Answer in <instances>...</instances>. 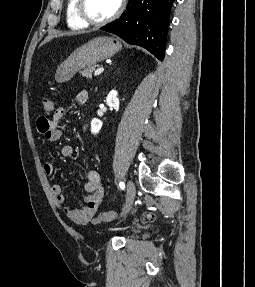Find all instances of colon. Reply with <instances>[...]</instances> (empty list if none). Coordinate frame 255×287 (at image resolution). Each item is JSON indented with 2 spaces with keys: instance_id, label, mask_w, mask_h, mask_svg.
<instances>
[{
  "instance_id": "1",
  "label": "colon",
  "mask_w": 255,
  "mask_h": 287,
  "mask_svg": "<svg viewBox=\"0 0 255 287\" xmlns=\"http://www.w3.org/2000/svg\"><path fill=\"white\" fill-rule=\"evenodd\" d=\"M42 109L45 115H51L55 111V104L51 99L43 98L41 100ZM117 212L115 211H107L103 212L99 215L101 221H110L116 218Z\"/></svg>"
}]
</instances>
